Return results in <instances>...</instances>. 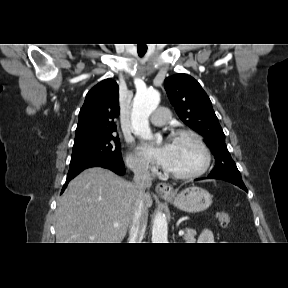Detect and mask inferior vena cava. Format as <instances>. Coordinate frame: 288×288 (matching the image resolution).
I'll use <instances>...</instances> for the list:
<instances>
[{
    "label": "inferior vena cava",
    "mask_w": 288,
    "mask_h": 288,
    "mask_svg": "<svg viewBox=\"0 0 288 288\" xmlns=\"http://www.w3.org/2000/svg\"><path fill=\"white\" fill-rule=\"evenodd\" d=\"M135 202L129 230V243H142L147 221L148 209L145 206V191L152 185V177L145 163H138L133 168Z\"/></svg>",
    "instance_id": "inferior-vena-cava-1"
}]
</instances>
